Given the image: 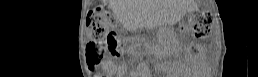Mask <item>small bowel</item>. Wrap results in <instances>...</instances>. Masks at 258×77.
Here are the masks:
<instances>
[{
    "label": "small bowel",
    "instance_id": "c3829d8e",
    "mask_svg": "<svg viewBox=\"0 0 258 77\" xmlns=\"http://www.w3.org/2000/svg\"><path fill=\"white\" fill-rule=\"evenodd\" d=\"M192 66H193L194 68L197 67V59H196V58H193V60H192Z\"/></svg>",
    "mask_w": 258,
    "mask_h": 77
}]
</instances>
